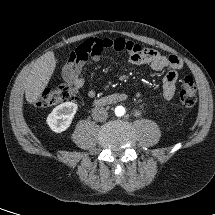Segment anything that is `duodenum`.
Listing matches in <instances>:
<instances>
[{"label":"duodenum","instance_id":"duodenum-1","mask_svg":"<svg viewBox=\"0 0 215 215\" xmlns=\"http://www.w3.org/2000/svg\"><path fill=\"white\" fill-rule=\"evenodd\" d=\"M127 99V95L125 93H114L95 101L97 106H106L111 104H117L123 102Z\"/></svg>","mask_w":215,"mask_h":215}]
</instances>
